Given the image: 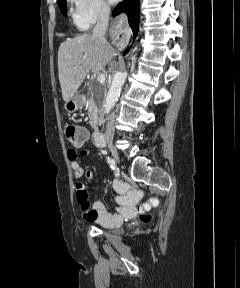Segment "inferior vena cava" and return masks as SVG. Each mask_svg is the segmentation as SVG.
<instances>
[{
	"label": "inferior vena cava",
	"mask_w": 240,
	"mask_h": 288,
	"mask_svg": "<svg viewBox=\"0 0 240 288\" xmlns=\"http://www.w3.org/2000/svg\"><path fill=\"white\" fill-rule=\"evenodd\" d=\"M109 13L110 10L107 6H101L98 12L97 23L92 31V36L94 38L100 39L102 42L108 45V42L105 38L106 30L109 22ZM115 114H112V118ZM114 136V126L112 122L108 123L105 131V138L107 141H111Z\"/></svg>",
	"instance_id": "inferior-vena-cava-1"
}]
</instances>
